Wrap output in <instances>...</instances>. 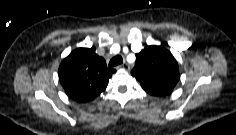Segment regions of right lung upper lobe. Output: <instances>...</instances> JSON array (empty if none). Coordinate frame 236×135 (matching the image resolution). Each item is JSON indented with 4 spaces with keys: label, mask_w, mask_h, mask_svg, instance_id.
I'll list each match as a JSON object with an SVG mask.
<instances>
[{
    "label": "right lung upper lobe",
    "mask_w": 236,
    "mask_h": 135,
    "mask_svg": "<svg viewBox=\"0 0 236 135\" xmlns=\"http://www.w3.org/2000/svg\"><path fill=\"white\" fill-rule=\"evenodd\" d=\"M114 72L92 47L72 51L61 62L58 75L66 94L77 102L85 103L105 90Z\"/></svg>",
    "instance_id": "cb5924a9"
}]
</instances>
